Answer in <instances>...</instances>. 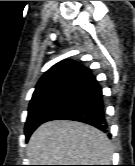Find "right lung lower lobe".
Wrapping results in <instances>:
<instances>
[{"label":"right lung lower lobe","mask_w":135,"mask_h":166,"mask_svg":"<svg viewBox=\"0 0 135 166\" xmlns=\"http://www.w3.org/2000/svg\"><path fill=\"white\" fill-rule=\"evenodd\" d=\"M72 99L66 111L54 120H73L108 131L103 95L96 78L89 74L80 81L67 86Z\"/></svg>","instance_id":"1"}]
</instances>
